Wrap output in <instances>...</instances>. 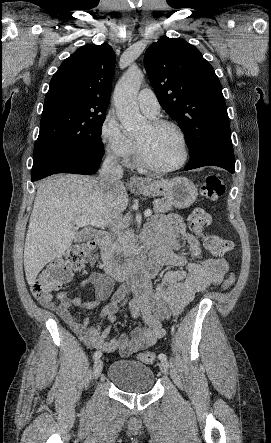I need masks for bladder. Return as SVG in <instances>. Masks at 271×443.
Wrapping results in <instances>:
<instances>
[{
    "mask_svg": "<svg viewBox=\"0 0 271 443\" xmlns=\"http://www.w3.org/2000/svg\"><path fill=\"white\" fill-rule=\"evenodd\" d=\"M108 378L118 389L132 394L151 391L155 382L153 370L132 359L113 362L108 369Z\"/></svg>",
    "mask_w": 271,
    "mask_h": 443,
    "instance_id": "bladder-1",
    "label": "bladder"
}]
</instances>
